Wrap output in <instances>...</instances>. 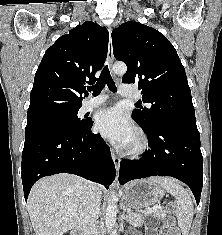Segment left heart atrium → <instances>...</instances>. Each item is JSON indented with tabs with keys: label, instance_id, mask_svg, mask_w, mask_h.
Returning <instances> with one entry per match:
<instances>
[{
	"label": "left heart atrium",
	"instance_id": "left-heart-atrium-1",
	"mask_svg": "<svg viewBox=\"0 0 222 235\" xmlns=\"http://www.w3.org/2000/svg\"><path fill=\"white\" fill-rule=\"evenodd\" d=\"M96 129L120 147H126L134 139V129L118 108H107L96 116Z\"/></svg>",
	"mask_w": 222,
	"mask_h": 235
}]
</instances>
